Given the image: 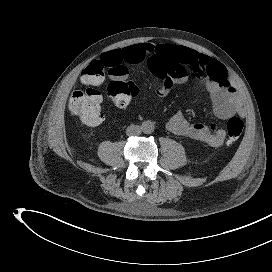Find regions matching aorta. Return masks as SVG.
<instances>
[{"label": "aorta", "instance_id": "762f6f07", "mask_svg": "<svg viewBox=\"0 0 272 272\" xmlns=\"http://www.w3.org/2000/svg\"><path fill=\"white\" fill-rule=\"evenodd\" d=\"M141 129L145 134H151L154 131V123L150 120L144 121L141 125Z\"/></svg>", "mask_w": 272, "mask_h": 272}]
</instances>
